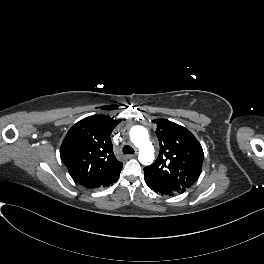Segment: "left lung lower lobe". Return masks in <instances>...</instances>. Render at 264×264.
<instances>
[{
	"instance_id": "left-lung-lower-lobe-1",
	"label": "left lung lower lobe",
	"mask_w": 264,
	"mask_h": 264,
	"mask_svg": "<svg viewBox=\"0 0 264 264\" xmlns=\"http://www.w3.org/2000/svg\"><path fill=\"white\" fill-rule=\"evenodd\" d=\"M146 184L148 185V187H150L153 191H155L158 194L161 195H168V196H173L176 193L170 189H167L161 185H158L156 183H153L152 181H149L147 179H145Z\"/></svg>"
}]
</instances>
